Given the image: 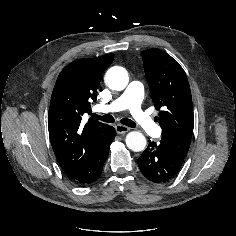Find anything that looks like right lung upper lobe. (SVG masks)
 <instances>
[{
    "label": "right lung upper lobe",
    "instance_id": "1",
    "mask_svg": "<svg viewBox=\"0 0 236 236\" xmlns=\"http://www.w3.org/2000/svg\"><path fill=\"white\" fill-rule=\"evenodd\" d=\"M113 53L78 59L59 74L51 96L48 129L55 156L71 177L88 161L108 125L99 121L81 123L91 112L103 71L112 63Z\"/></svg>",
    "mask_w": 236,
    "mask_h": 236
}]
</instances>
